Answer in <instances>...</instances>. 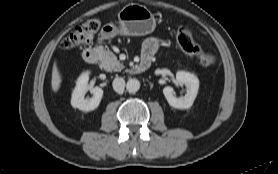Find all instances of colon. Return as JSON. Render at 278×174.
<instances>
[{
	"mask_svg": "<svg viewBox=\"0 0 278 174\" xmlns=\"http://www.w3.org/2000/svg\"><path fill=\"white\" fill-rule=\"evenodd\" d=\"M101 23L97 19H90L79 24L75 30L61 42V48L70 50L75 47L88 45L94 35L100 29ZM180 49L191 56L199 59L204 66H212L217 62V57L205 51L193 38L191 31L186 27H180L176 34Z\"/></svg>",
	"mask_w": 278,
	"mask_h": 174,
	"instance_id": "5ec220e1",
	"label": "colon"
}]
</instances>
